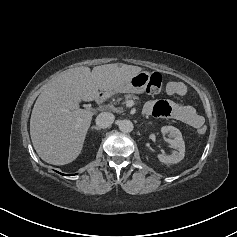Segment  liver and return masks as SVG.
Wrapping results in <instances>:
<instances>
[{
    "mask_svg": "<svg viewBox=\"0 0 237 237\" xmlns=\"http://www.w3.org/2000/svg\"><path fill=\"white\" fill-rule=\"evenodd\" d=\"M142 70L127 64H106L68 69L48 82L38 96L30 119V135L39 157L53 165H65L81 153L93 113L79 108L93 101L99 90L112 93Z\"/></svg>",
    "mask_w": 237,
    "mask_h": 237,
    "instance_id": "6515ba94",
    "label": "liver"
}]
</instances>
